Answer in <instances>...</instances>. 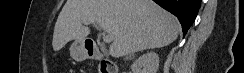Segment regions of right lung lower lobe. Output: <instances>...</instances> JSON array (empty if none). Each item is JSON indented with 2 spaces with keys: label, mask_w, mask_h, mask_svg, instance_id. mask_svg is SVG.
<instances>
[{
  "label": "right lung lower lobe",
  "mask_w": 244,
  "mask_h": 73,
  "mask_svg": "<svg viewBox=\"0 0 244 73\" xmlns=\"http://www.w3.org/2000/svg\"><path fill=\"white\" fill-rule=\"evenodd\" d=\"M167 11L174 14L180 21L183 29V35H186L188 29L194 22L201 0H153Z\"/></svg>",
  "instance_id": "98d812e1"
}]
</instances>
